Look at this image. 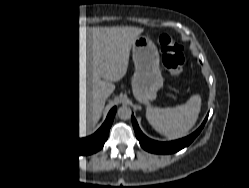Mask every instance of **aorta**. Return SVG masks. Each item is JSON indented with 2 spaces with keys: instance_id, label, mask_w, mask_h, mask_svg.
I'll list each match as a JSON object with an SVG mask.
<instances>
[{
  "instance_id": "obj_1",
  "label": "aorta",
  "mask_w": 249,
  "mask_h": 188,
  "mask_svg": "<svg viewBox=\"0 0 249 188\" xmlns=\"http://www.w3.org/2000/svg\"><path fill=\"white\" fill-rule=\"evenodd\" d=\"M117 116L122 120H127L131 117V109L127 106H122L118 109Z\"/></svg>"
}]
</instances>
